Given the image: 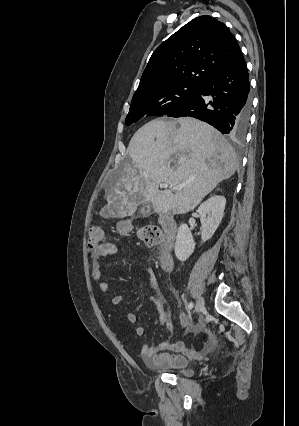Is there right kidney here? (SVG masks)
Segmentation results:
<instances>
[{"instance_id":"obj_1","label":"right kidney","mask_w":299,"mask_h":426,"mask_svg":"<svg viewBox=\"0 0 299 426\" xmlns=\"http://www.w3.org/2000/svg\"><path fill=\"white\" fill-rule=\"evenodd\" d=\"M225 205V197L214 194L199 206L197 212L200 215L202 225V243L209 240L217 230L224 216ZM194 249L195 242L190 229L187 224H181L175 243V255L177 259L182 262L186 261L194 252Z\"/></svg>"}]
</instances>
